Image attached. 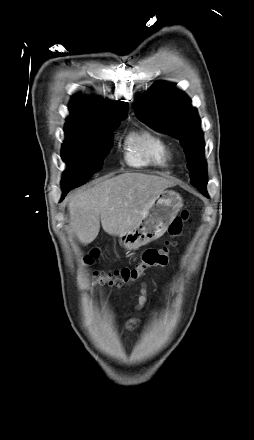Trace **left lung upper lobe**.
<instances>
[{
    "label": "left lung upper lobe",
    "mask_w": 254,
    "mask_h": 440,
    "mask_svg": "<svg viewBox=\"0 0 254 440\" xmlns=\"http://www.w3.org/2000/svg\"><path fill=\"white\" fill-rule=\"evenodd\" d=\"M134 111L140 120L157 131L179 139L186 154L191 184L208 197L203 132L191 100L174 84L155 82L134 104Z\"/></svg>",
    "instance_id": "5c2ea615"
}]
</instances>
